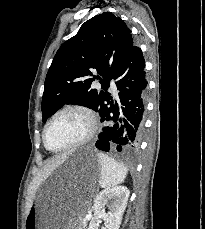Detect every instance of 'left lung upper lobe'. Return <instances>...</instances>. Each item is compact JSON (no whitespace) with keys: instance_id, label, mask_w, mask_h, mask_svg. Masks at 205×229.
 I'll list each match as a JSON object with an SVG mask.
<instances>
[{"instance_id":"obj_1","label":"left lung upper lobe","mask_w":205,"mask_h":229,"mask_svg":"<svg viewBox=\"0 0 205 229\" xmlns=\"http://www.w3.org/2000/svg\"><path fill=\"white\" fill-rule=\"evenodd\" d=\"M131 30L111 13L96 15L86 21L77 35L57 51L45 79L42 98L43 122L65 104H77L99 114L107 107L110 80L132 48ZM102 91L91 89L93 73Z\"/></svg>"}]
</instances>
